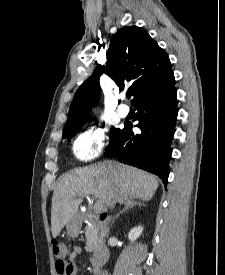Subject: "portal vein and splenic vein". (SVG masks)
<instances>
[{"label": "portal vein and splenic vein", "mask_w": 225, "mask_h": 275, "mask_svg": "<svg viewBox=\"0 0 225 275\" xmlns=\"http://www.w3.org/2000/svg\"><path fill=\"white\" fill-rule=\"evenodd\" d=\"M95 207L101 209V208L103 207V205L100 204V203H96V204H95Z\"/></svg>", "instance_id": "obj_1"}]
</instances>
